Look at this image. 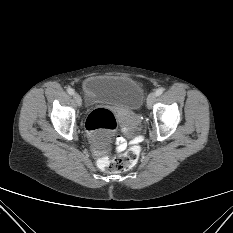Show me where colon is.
<instances>
[{
    "instance_id": "obj_1",
    "label": "colon",
    "mask_w": 233,
    "mask_h": 233,
    "mask_svg": "<svg viewBox=\"0 0 233 233\" xmlns=\"http://www.w3.org/2000/svg\"><path fill=\"white\" fill-rule=\"evenodd\" d=\"M116 125L117 121L114 113L104 108L93 110L86 120V129L91 133L101 130L112 132L116 129ZM138 157L139 148L132 147L112 160L107 157H100L98 165L109 173H120L131 169L136 164Z\"/></svg>"
}]
</instances>
